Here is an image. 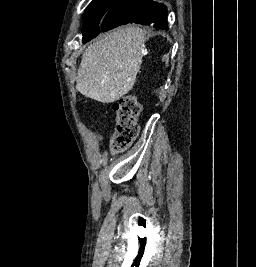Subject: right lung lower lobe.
I'll use <instances>...</instances> for the list:
<instances>
[{
    "instance_id": "1",
    "label": "right lung lower lobe",
    "mask_w": 256,
    "mask_h": 267,
    "mask_svg": "<svg viewBox=\"0 0 256 267\" xmlns=\"http://www.w3.org/2000/svg\"><path fill=\"white\" fill-rule=\"evenodd\" d=\"M128 23L151 25L157 30H168L167 9L163 4L155 3L152 0H142L114 24L111 29Z\"/></svg>"
}]
</instances>
